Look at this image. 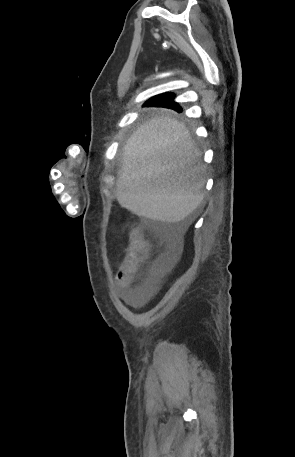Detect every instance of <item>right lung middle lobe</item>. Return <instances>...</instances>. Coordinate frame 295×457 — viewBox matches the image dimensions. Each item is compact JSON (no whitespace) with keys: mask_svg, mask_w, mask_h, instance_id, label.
Returning <instances> with one entry per match:
<instances>
[{"mask_svg":"<svg viewBox=\"0 0 295 457\" xmlns=\"http://www.w3.org/2000/svg\"><path fill=\"white\" fill-rule=\"evenodd\" d=\"M173 97H174L173 94H171V93H166V94L160 95V96H159V100L164 101V100H166V99H168V98H173Z\"/></svg>","mask_w":295,"mask_h":457,"instance_id":"1","label":"right lung middle lobe"}]
</instances>
